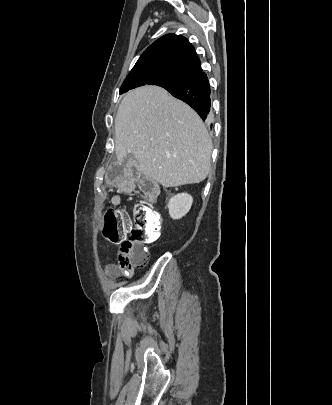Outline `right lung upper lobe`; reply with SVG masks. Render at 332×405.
I'll use <instances>...</instances> for the list:
<instances>
[{
  "label": "right lung upper lobe",
  "mask_w": 332,
  "mask_h": 405,
  "mask_svg": "<svg viewBox=\"0 0 332 405\" xmlns=\"http://www.w3.org/2000/svg\"><path fill=\"white\" fill-rule=\"evenodd\" d=\"M147 70L162 71L186 78L201 72L202 68L194 47L185 37L167 34L143 52L131 72Z\"/></svg>",
  "instance_id": "obj_1"
}]
</instances>
